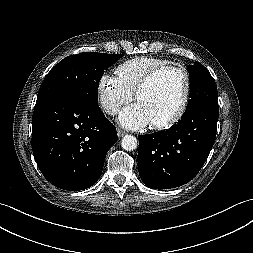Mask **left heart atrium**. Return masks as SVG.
I'll use <instances>...</instances> for the list:
<instances>
[{
    "mask_svg": "<svg viewBox=\"0 0 253 253\" xmlns=\"http://www.w3.org/2000/svg\"><path fill=\"white\" fill-rule=\"evenodd\" d=\"M119 122L126 128L139 129L150 124L151 120L146 110L139 103H135L122 110Z\"/></svg>",
    "mask_w": 253,
    "mask_h": 253,
    "instance_id": "39dd6f15",
    "label": "left heart atrium"
}]
</instances>
